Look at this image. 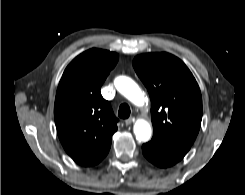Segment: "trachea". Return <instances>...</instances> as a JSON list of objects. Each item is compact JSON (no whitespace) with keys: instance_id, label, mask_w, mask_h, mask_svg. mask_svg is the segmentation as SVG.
Wrapping results in <instances>:
<instances>
[{"instance_id":"3493384b","label":"trachea","mask_w":245,"mask_h":195,"mask_svg":"<svg viewBox=\"0 0 245 195\" xmlns=\"http://www.w3.org/2000/svg\"><path fill=\"white\" fill-rule=\"evenodd\" d=\"M130 107L128 104L124 103L120 105L118 115L122 119H126L130 116Z\"/></svg>"}]
</instances>
